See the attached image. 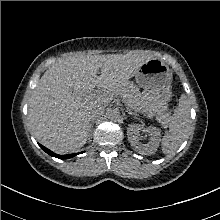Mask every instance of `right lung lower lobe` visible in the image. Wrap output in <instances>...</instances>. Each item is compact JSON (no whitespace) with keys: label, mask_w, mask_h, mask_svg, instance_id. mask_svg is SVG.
<instances>
[{"label":"right lung lower lobe","mask_w":220,"mask_h":220,"mask_svg":"<svg viewBox=\"0 0 220 220\" xmlns=\"http://www.w3.org/2000/svg\"><path fill=\"white\" fill-rule=\"evenodd\" d=\"M40 147L49 155L56 157V158H59V159H68V158L74 157L77 154H79V153H77V154H70V155H58V154L53 153L52 151H50L49 149H47L46 147H44L42 145H40Z\"/></svg>","instance_id":"right-lung-lower-lobe-1"}]
</instances>
